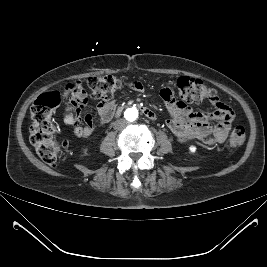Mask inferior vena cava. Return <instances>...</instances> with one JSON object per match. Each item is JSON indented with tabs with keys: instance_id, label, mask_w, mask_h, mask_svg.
<instances>
[{
	"instance_id": "inferior-vena-cava-1",
	"label": "inferior vena cava",
	"mask_w": 267,
	"mask_h": 267,
	"mask_svg": "<svg viewBox=\"0 0 267 267\" xmlns=\"http://www.w3.org/2000/svg\"><path fill=\"white\" fill-rule=\"evenodd\" d=\"M127 125V121L125 119H118L113 123L114 129L120 130Z\"/></svg>"
}]
</instances>
